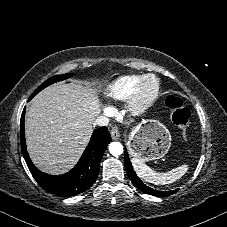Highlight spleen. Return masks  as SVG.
<instances>
[{
  "label": "spleen",
  "mask_w": 227,
  "mask_h": 227,
  "mask_svg": "<svg viewBox=\"0 0 227 227\" xmlns=\"http://www.w3.org/2000/svg\"><path fill=\"white\" fill-rule=\"evenodd\" d=\"M131 162L134 171L142 180L155 185L171 184L181 178L188 170V165L184 164L168 172L160 173L152 170L138 158H132Z\"/></svg>",
  "instance_id": "1"
}]
</instances>
